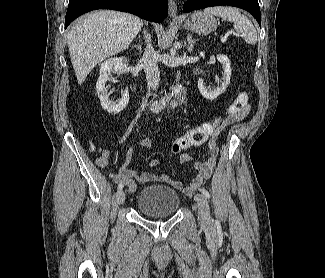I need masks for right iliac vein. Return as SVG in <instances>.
Returning a JSON list of instances; mask_svg holds the SVG:
<instances>
[{
	"label": "right iliac vein",
	"mask_w": 325,
	"mask_h": 278,
	"mask_svg": "<svg viewBox=\"0 0 325 278\" xmlns=\"http://www.w3.org/2000/svg\"><path fill=\"white\" fill-rule=\"evenodd\" d=\"M116 201L119 205L123 204L125 201V192L123 190H119L116 193Z\"/></svg>",
	"instance_id": "1"
}]
</instances>
